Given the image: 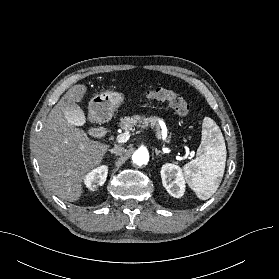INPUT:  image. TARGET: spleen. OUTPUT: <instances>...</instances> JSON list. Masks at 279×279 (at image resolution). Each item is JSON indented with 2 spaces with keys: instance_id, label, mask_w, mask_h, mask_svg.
I'll list each match as a JSON object with an SVG mask.
<instances>
[{
  "instance_id": "spleen-1",
  "label": "spleen",
  "mask_w": 279,
  "mask_h": 279,
  "mask_svg": "<svg viewBox=\"0 0 279 279\" xmlns=\"http://www.w3.org/2000/svg\"><path fill=\"white\" fill-rule=\"evenodd\" d=\"M226 146L218 125L209 117L202 123V141L196 158L183 167L185 179L201 200L218 189L225 170Z\"/></svg>"
}]
</instances>
